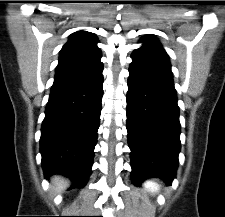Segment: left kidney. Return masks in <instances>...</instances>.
<instances>
[{
	"label": "left kidney",
	"mask_w": 225,
	"mask_h": 217,
	"mask_svg": "<svg viewBox=\"0 0 225 217\" xmlns=\"http://www.w3.org/2000/svg\"><path fill=\"white\" fill-rule=\"evenodd\" d=\"M144 187L151 192H156L159 189V186L156 183L150 181L145 182Z\"/></svg>",
	"instance_id": "5707ae66"
}]
</instances>
